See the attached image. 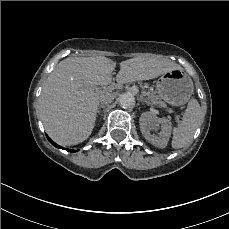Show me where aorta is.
Segmentation results:
<instances>
[{"mask_svg":"<svg viewBox=\"0 0 229 229\" xmlns=\"http://www.w3.org/2000/svg\"><path fill=\"white\" fill-rule=\"evenodd\" d=\"M119 104L122 108H132L135 105V97L132 93L126 92L119 97Z\"/></svg>","mask_w":229,"mask_h":229,"instance_id":"1","label":"aorta"}]
</instances>
